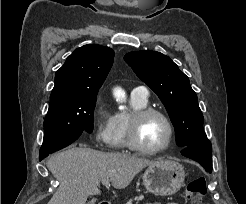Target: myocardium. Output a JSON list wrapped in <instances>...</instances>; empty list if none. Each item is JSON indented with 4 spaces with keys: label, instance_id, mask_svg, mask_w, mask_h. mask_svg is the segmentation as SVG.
<instances>
[{
    "label": "myocardium",
    "instance_id": "obj_1",
    "mask_svg": "<svg viewBox=\"0 0 246 204\" xmlns=\"http://www.w3.org/2000/svg\"><path fill=\"white\" fill-rule=\"evenodd\" d=\"M152 115H157L161 117L165 121L168 127V137H167L166 142L161 147H158L155 149H150V148L143 146L139 140V131H140L143 121ZM174 136H175V128H174V125L171 119L166 113H164L163 111L159 109L152 108V107H146V108L134 111L130 115L128 131H127V144L129 148L139 153L147 154V155H154V154L164 152L171 146Z\"/></svg>",
    "mask_w": 246,
    "mask_h": 204
}]
</instances>
